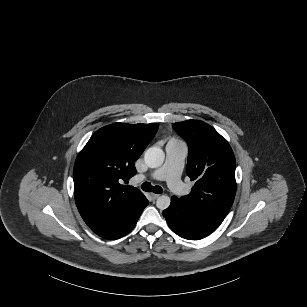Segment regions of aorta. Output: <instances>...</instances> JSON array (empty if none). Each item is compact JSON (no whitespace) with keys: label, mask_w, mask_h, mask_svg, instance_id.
Returning a JSON list of instances; mask_svg holds the SVG:
<instances>
[{"label":"aorta","mask_w":307,"mask_h":307,"mask_svg":"<svg viewBox=\"0 0 307 307\" xmlns=\"http://www.w3.org/2000/svg\"><path fill=\"white\" fill-rule=\"evenodd\" d=\"M165 159V153L159 147H150L144 154L145 164L149 168H158L160 167ZM170 197L167 195H161L156 200V206L160 210H164L170 205Z\"/></svg>","instance_id":"1"}]
</instances>
